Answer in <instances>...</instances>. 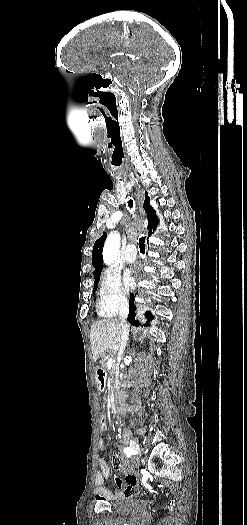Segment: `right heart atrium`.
Wrapping results in <instances>:
<instances>
[{"label":"right heart atrium","instance_id":"1","mask_svg":"<svg viewBox=\"0 0 247 525\" xmlns=\"http://www.w3.org/2000/svg\"><path fill=\"white\" fill-rule=\"evenodd\" d=\"M98 309L103 316H114L127 305V294L120 274L113 268H106L100 276Z\"/></svg>","mask_w":247,"mask_h":525}]
</instances>
